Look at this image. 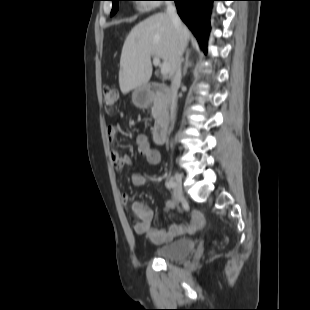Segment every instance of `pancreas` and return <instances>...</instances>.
I'll use <instances>...</instances> for the list:
<instances>
[{"mask_svg":"<svg viewBox=\"0 0 310 310\" xmlns=\"http://www.w3.org/2000/svg\"><path fill=\"white\" fill-rule=\"evenodd\" d=\"M160 114V109H159V102L157 100L154 101L152 110H151V115L154 119H157Z\"/></svg>","mask_w":310,"mask_h":310,"instance_id":"1","label":"pancreas"}]
</instances>
